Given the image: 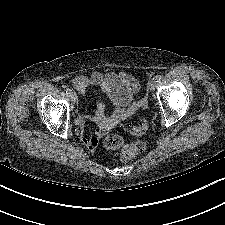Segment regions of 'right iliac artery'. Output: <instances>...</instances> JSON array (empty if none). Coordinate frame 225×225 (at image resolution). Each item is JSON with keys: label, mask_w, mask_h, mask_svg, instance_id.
<instances>
[{"label": "right iliac artery", "mask_w": 225, "mask_h": 225, "mask_svg": "<svg viewBox=\"0 0 225 225\" xmlns=\"http://www.w3.org/2000/svg\"><path fill=\"white\" fill-rule=\"evenodd\" d=\"M65 91L68 96H70L72 94V90L69 88H67Z\"/></svg>", "instance_id": "82829eb1"}]
</instances>
